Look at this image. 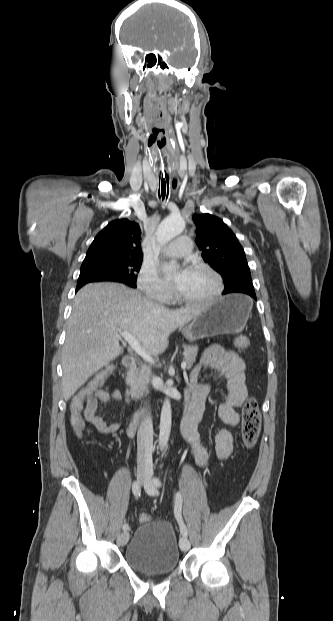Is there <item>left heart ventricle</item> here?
I'll list each match as a JSON object with an SVG mask.
<instances>
[{
    "label": "left heart ventricle",
    "instance_id": "left-heart-ventricle-1",
    "mask_svg": "<svg viewBox=\"0 0 333 621\" xmlns=\"http://www.w3.org/2000/svg\"><path fill=\"white\" fill-rule=\"evenodd\" d=\"M215 289L216 282L210 274L189 270L186 281L177 291L187 298L202 299L211 296Z\"/></svg>",
    "mask_w": 333,
    "mask_h": 621
}]
</instances>
